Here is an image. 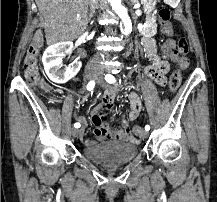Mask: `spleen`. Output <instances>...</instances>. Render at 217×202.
<instances>
[{
    "mask_svg": "<svg viewBox=\"0 0 217 202\" xmlns=\"http://www.w3.org/2000/svg\"><path fill=\"white\" fill-rule=\"evenodd\" d=\"M166 5L168 7H179V2L178 0H166Z\"/></svg>",
    "mask_w": 217,
    "mask_h": 202,
    "instance_id": "1",
    "label": "spleen"
}]
</instances>
